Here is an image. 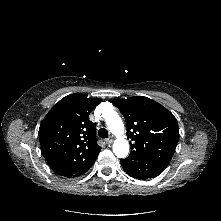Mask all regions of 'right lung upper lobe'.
<instances>
[{"label":"right lung upper lobe","instance_id":"right-lung-upper-lobe-1","mask_svg":"<svg viewBox=\"0 0 221 221\" xmlns=\"http://www.w3.org/2000/svg\"><path fill=\"white\" fill-rule=\"evenodd\" d=\"M101 101L81 93L71 94L56 103L43 119L39 141L56 174L70 178L96 160L101 147L89 114Z\"/></svg>","mask_w":221,"mask_h":221}]
</instances>
